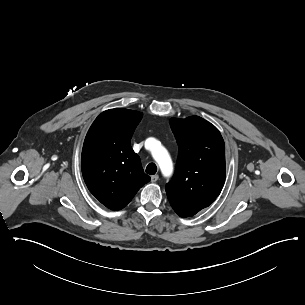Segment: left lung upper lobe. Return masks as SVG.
<instances>
[{
  "mask_svg": "<svg viewBox=\"0 0 305 305\" xmlns=\"http://www.w3.org/2000/svg\"><path fill=\"white\" fill-rule=\"evenodd\" d=\"M179 146L176 171L166 185L168 200L181 217L208 207L225 183V144L218 129L198 116L171 118Z\"/></svg>",
  "mask_w": 305,
  "mask_h": 305,
  "instance_id": "obj_1",
  "label": "left lung upper lobe"
}]
</instances>
